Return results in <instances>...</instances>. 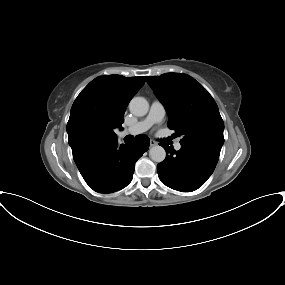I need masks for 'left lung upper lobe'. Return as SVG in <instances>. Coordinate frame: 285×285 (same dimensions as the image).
Returning <instances> with one entry per match:
<instances>
[{"label":"left lung upper lobe","mask_w":285,"mask_h":285,"mask_svg":"<svg viewBox=\"0 0 285 285\" xmlns=\"http://www.w3.org/2000/svg\"><path fill=\"white\" fill-rule=\"evenodd\" d=\"M147 82L166 108L168 127L183 137L182 145L221 151L224 123L216 102L200 83L177 73L148 76Z\"/></svg>","instance_id":"obj_1"}]
</instances>
